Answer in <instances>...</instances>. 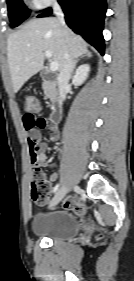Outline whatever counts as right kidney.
Instances as JSON below:
<instances>
[{
    "instance_id": "obj_1",
    "label": "right kidney",
    "mask_w": 134,
    "mask_h": 281,
    "mask_svg": "<svg viewBox=\"0 0 134 281\" xmlns=\"http://www.w3.org/2000/svg\"><path fill=\"white\" fill-rule=\"evenodd\" d=\"M90 70V66L88 64L81 65L75 73V76L73 77V84L76 86H79L84 83L88 76V72Z\"/></svg>"
}]
</instances>
